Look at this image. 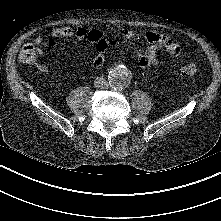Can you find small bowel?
Segmentation results:
<instances>
[{"mask_svg":"<svg viewBox=\"0 0 221 221\" xmlns=\"http://www.w3.org/2000/svg\"><path fill=\"white\" fill-rule=\"evenodd\" d=\"M119 35L129 41H137L141 38V36L127 29H121ZM61 38H74L76 40H87L95 45H97L100 41L105 40L100 31L95 29H85L83 27L73 28L70 26H62L53 29L50 32V42H54ZM145 41L148 43V47L144 52H135L130 51L129 49H124L125 52L131 54L138 65L141 68H150L159 66V58L158 52L160 50H164L169 55H177L180 52L179 45L171 40L168 36L155 32L149 31L144 35ZM44 43V38L41 36H37L34 39V44L36 46H41ZM98 53L92 60V66L96 69L101 68L104 64L105 54L104 51L97 50ZM38 53L41 54V51L38 49ZM38 70L45 72L47 71V66L43 63L38 62L36 64Z\"/></svg>","mask_w":221,"mask_h":221,"instance_id":"1","label":"small bowel"}]
</instances>
